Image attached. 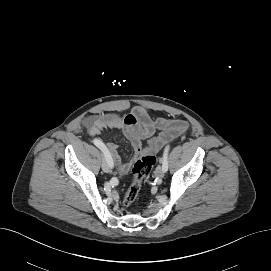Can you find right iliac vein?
<instances>
[{
	"label": "right iliac vein",
	"mask_w": 271,
	"mask_h": 271,
	"mask_svg": "<svg viewBox=\"0 0 271 271\" xmlns=\"http://www.w3.org/2000/svg\"><path fill=\"white\" fill-rule=\"evenodd\" d=\"M102 169L106 173H109L111 171V167L106 159H103L102 161Z\"/></svg>",
	"instance_id": "right-iliac-vein-1"
}]
</instances>
